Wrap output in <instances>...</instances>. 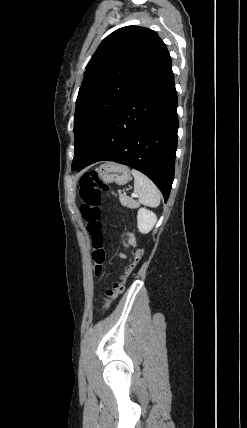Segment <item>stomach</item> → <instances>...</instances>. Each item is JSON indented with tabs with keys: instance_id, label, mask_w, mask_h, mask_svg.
Returning a JSON list of instances; mask_svg holds the SVG:
<instances>
[{
	"instance_id": "1",
	"label": "stomach",
	"mask_w": 247,
	"mask_h": 428,
	"mask_svg": "<svg viewBox=\"0 0 247 428\" xmlns=\"http://www.w3.org/2000/svg\"><path fill=\"white\" fill-rule=\"evenodd\" d=\"M99 178L105 183L125 185L131 179L130 169L122 164L113 162L102 165L98 170Z\"/></svg>"
}]
</instances>
